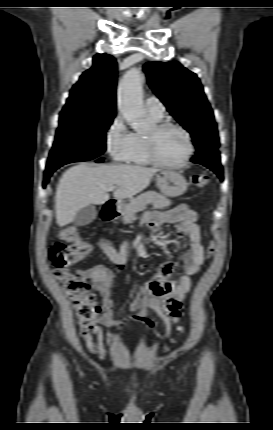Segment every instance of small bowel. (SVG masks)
Instances as JSON below:
<instances>
[{
	"label": "small bowel",
	"instance_id": "obj_1",
	"mask_svg": "<svg viewBox=\"0 0 273 430\" xmlns=\"http://www.w3.org/2000/svg\"><path fill=\"white\" fill-rule=\"evenodd\" d=\"M197 213L187 204H180L171 209L157 210L146 213L142 218V223L147 224L152 230H158L167 223H178L177 235L180 238L186 237L189 243L188 250L183 255L184 275L180 280L172 278L178 266L173 258L163 264L160 274L147 284L141 286L136 297L130 302L129 309L137 312L134 316L122 321H116L113 317V299L111 297L112 285L115 273L112 269L104 265H96L85 270H78V273L92 281L94 289L101 296L102 314L98 317L91 332L84 336L87 349L100 358H105L107 349L101 325L122 329L129 320H134L145 324L148 328H154V322L147 317L149 310L154 311L163 321L165 332L163 337L168 338L174 326L180 321V305L187 293L192 288V277L195 275L204 262V248L202 245L201 230L197 221ZM99 247L103 254L115 264L119 271H122L128 255V242L124 241L119 251L109 242L100 241ZM182 330V327H178ZM93 337L95 340H93Z\"/></svg>",
	"mask_w": 273,
	"mask_h": 430
}]
</instances>
